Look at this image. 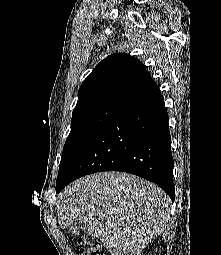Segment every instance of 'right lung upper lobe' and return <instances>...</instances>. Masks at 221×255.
Wrapping results in <instances>:
<instances>
[{
    "label": "right lung upper lobe",
    "instance_id": "cb5924a9",
    "mask_svg": "<svg viewBox=\"0 0 221 255\" xmlns=\"http://www.w3.org/2000/svg\"><path fill=\"white\" fill-rule=\"evenodd\" d=\"M152 84L141 61L125 53L112 54L80 86L72 115L101 106H120Z\"/></svg>",
    "mask_w": 221,
    "mask_h": 255
}]
</instances>
